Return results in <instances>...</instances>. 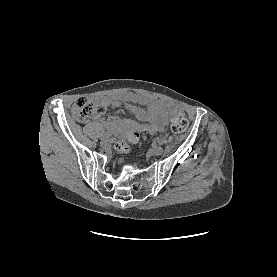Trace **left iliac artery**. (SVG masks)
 I'll use <instances>...</instances> for the list:
<instances>
[{"label":"left iliac artery","mask_w":277,"mask_h":277,"mask_svg":"<svg viewBox=\"0 0 277 277\" xmlns=\"http://www.w3.org/2000/svg\"><path fill=\"white\" fill-rule=\"evenodd\" d=\"M158 142H159V144H161V145H165V144H167V140H166V139H164V138H160V139H158Z\"/></svg>","instance_id":"left-iliac-artery-1"}]
</instances>
